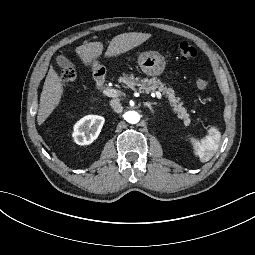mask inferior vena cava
Segmentation results:
<instances>
[{"mask_svg": "<svg viewBox=\"0 0 255 255\" xmlns=\"http://www.w3.org/2000/svg\"><path fill=\"white\" fill-rule=\"evenodd\" d=\"M110 105L117 113H121L123 111L121 103L116 99L110 100Z\"/></svg>", "mask_w": 255, "mask_h": 255, "instance_id": "602c4592", "label": "inferior vena cava"}]
</instances>
